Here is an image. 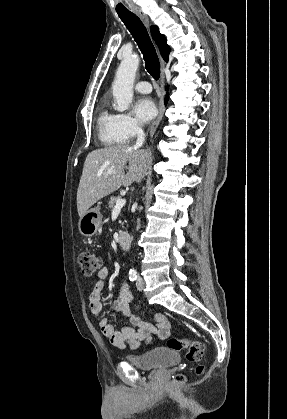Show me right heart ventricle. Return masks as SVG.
<instances>
[{
  "label": "right heart ventricle",
  "mask_w": 287,
  "mask_h": 419,
  "mask_svg": "<svg viewBox=\"0 0 287 419\" xmlns=\"http://www.w3.org/2000/svg\"><path fill=\"white\" fill-rule=\"evenodd\" d=\"M97 127L99 139L104 145L111 147L126 142L118 132L116 115L108 110L106 104L99 111Z\"/></svg>",
  "instance_id": "1"
}]
</instances>
